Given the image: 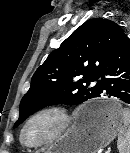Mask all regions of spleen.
Masks as SVG:
<instances>
[{
    "label": "spleen",
    "mask_w": 130,
    "mask_h": 153,
    "mask_svg": "<svg viewBox=\"0 0 130 153\" xmlns=\"http://www.w3.org/2000/svg\"><path fill=\"white\" fill-rule=\"evenodd\" d=\"M119 153H130V110L122 109V125L119 127L117 141Z\"/></svg>",
    "instance_id": "spleen-1"
}]
</instances>
